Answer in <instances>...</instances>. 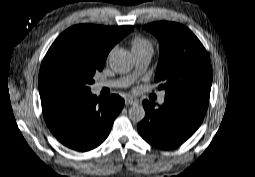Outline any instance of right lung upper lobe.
I'll return each mask as SVG.
<instances>
[{
	"instance_id": "obj_1",
	"label": "right lung upper lobe",
	"mask_w": 255,
	"mask_h": 177,
	"mask_svg": "<svg viewBox=\"0 0 255 177\" xmlns=\"http://www.w3.org/2000/svg\"><path fill=\"white\" fill-rule=\"evenodd\" d=\"M129 27L81 24L65 30L57 40H70L81 47L91 49L97 56L106 60L112 47L129 33Z\"/></svg>"
}]
</instances>
